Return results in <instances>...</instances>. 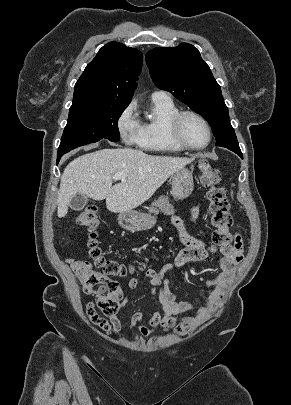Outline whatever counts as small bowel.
I'll return each mask as SVG.
<instances>
[{
	"instance_id": "small-bowel-1",
	"label": "small bowel",
	"mask_w": 291,
	"mask_h": 405,
	"mask_svg": "<svg viewBox=\"0 0 291 405\" xmlns=\"http://www.w3.org/2000/svg\"><path fill=\"white\" fill-rule=\"evenodd\" d=\"M200 206L196 205L191 211L190 219L196 220ZM173 223L178 231V237L184 248L178 253L174 263L163 265L159 270L148 269L142 275L131 278L128 282L129 289H135L142 279H148L151 284V295L157 296L162 306V311L153 312L146 320L141 312H134L130 318V329L137 330L143 337H149L158 330L174 328L178 335H186L204 324L211 314L218 308L228 286L234 279L236 267L243 260V245L239 235L235 236V242L230 245L220 246L222 258L218 264L220 273L210 279L206 288L207 300L203 305L196 307L186 301H177L169 289L170 280L168 274L183 267L187 263L202 261L208 257V243L202 239L190 235L184 222L174 218ZM127 299L124 298L121 306ZM86 313L90 320L106 332L121 331V322L117 315L106 320L95 311L92 303L87 304Z\"/></svg>"
}]
</instances>
